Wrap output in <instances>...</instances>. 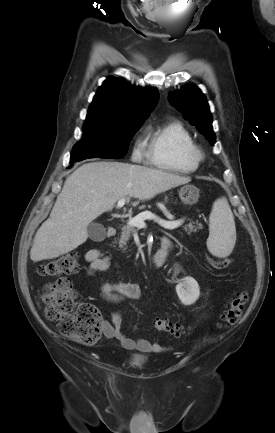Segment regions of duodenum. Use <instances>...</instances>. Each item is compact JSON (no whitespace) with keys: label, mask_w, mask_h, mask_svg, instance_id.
<instances>
[{"label":"duodenum","mask_w":275,"mask_h":433,"mask_svg":"<svg viewBox=\"0 0 275 433\" xmlns=\"http://www.w3.org/2000/svg\"><path fill=\"white\" fill-rule=\"evenodd\" d=\"M116 234V228L113 225H110L107 229V235L109 237H113ZM171 245L168 241L162 242L161 249L157 251L151 258V265L155 268L162 267L168 258L170 253Z\"/></svg>","instance_id":"duodenum-1"}]
</instances>
